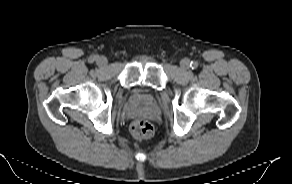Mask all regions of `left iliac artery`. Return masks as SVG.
<instances>
[{"instance_id":"left-iliac-artery-1","label":"left iliac artery","mask_w":292,"mask_h":184,"mask_svg":"<svg viewBox=\"0 0 292 184\" xmlns=\"http://www.w3.org/2000/svg\"><path fill=\"white\" fill-rule=\"evenodd\" d=\"M190 67H191L192 69H195V68L198 67V63L195 62V61H191V63H190Z\"/></svg>"}]
</instances>
